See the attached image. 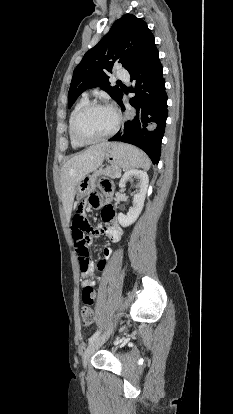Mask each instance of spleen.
I'll list each match as a JSON object with an SVG mask.
<instances>
[{
	"label": "spleen",
	"mask_w": 233,
	"mask_h": 414,
	"mask_svg": "<svg viewBox=\"0 0 233 414\" xmlns=\"http://www.w3.org/2000/svg\"><path fill=\"white\" fill-rule=\"evenodd\" d=\"M150 166H151V162L149 158L145 155L144 161L139 167L143 168L144 170H149Z\"/></svg>",
	"instance_id": "obj_1"
}]
</instances>
